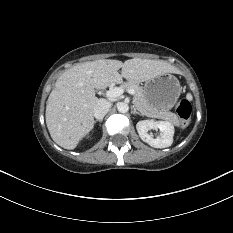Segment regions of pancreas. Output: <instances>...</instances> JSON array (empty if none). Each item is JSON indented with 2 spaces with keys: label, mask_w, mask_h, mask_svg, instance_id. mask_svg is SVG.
<instances>
[{
  "label": "pancreas",
  "mask_w": 233,
  "mask_h": 233,
  "mask_svg": "<svg viewBox=\"0 0 233 233\" xmlns=\"http://www.w3.org/2000/svg\"><path fill=\"white\" fill-rule=\"evenodd\" d=\"M120 88L123 90H127L129 88L134 90L135 94L133 97V103L143 115L152 118L163 119L173 123L176 126L180 125L176 114L167 110H159L151 106L144 95L143 89L138 85L132 83H123Z\"/></svg>",
  "instance_id": "cf45deb5"
}]
</instances>
